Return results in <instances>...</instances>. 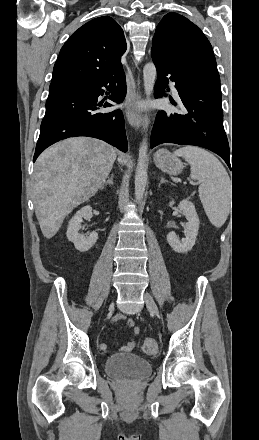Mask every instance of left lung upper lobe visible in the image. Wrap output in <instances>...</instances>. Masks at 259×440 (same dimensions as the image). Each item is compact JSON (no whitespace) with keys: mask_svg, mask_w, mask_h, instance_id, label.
<instances>
[{"mask_svg":"<svg viewBox=\"0 0 259 440\" xmlns=\"http://www.w3.org/2000/svg\"><path fill=\"white\" fill-rule=\"evenodd\" d=\"M151 53L168 61L183 74L202 73L220 80L212 46L190 20L168 13L156 28Z\"/></svg>","mask_w":259,"mask_h":440,"instance_id":"obj_1","label":"left lung upper lobe"}]
</instances>
